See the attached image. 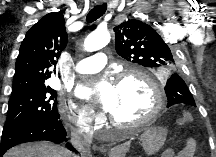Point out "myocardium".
<instances>
[{
  "label": "myocardium",
  "mask_w": 216,
  "mask_h": 157,
  "mask_svg": "<svg viewBox=\"0 0 216 157\" xmlns=\"http://www.w3.org/2000/svg\"><path fill=\"white\" fill-rule=\"evenodd\" d=\"M139 79L147 84L153 95V106L150 112L142 119L133 122H122L110 114L109 119L113 124L126 127H139L150 124L161 113L165 106V97L159 84L145 71L140 68H131L120 74L116 80V85L122 84L126 79Z\"/></svg>",
  "instance_id": "myocardium-1"
}]
</instances>
